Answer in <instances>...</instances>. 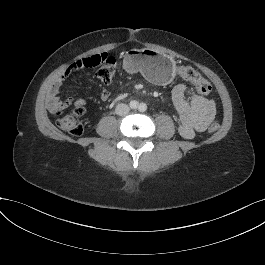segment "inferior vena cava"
<instances>
[{"mask_svg":"<svg viewBox=\"0 0 265 265\" xmlns=\"http://www.w3.org/2000/svg\"><path fill=\"white\" fill-rule=\"evenodd\" d=\"M115 112L119 116H125L130 112V107L127 104L121 103L116 106Z\"/></svg>","mask_w":265,"mask_h":265,"instance_id":"602c4592","label":"inferior vena cava"}]
</instances>
